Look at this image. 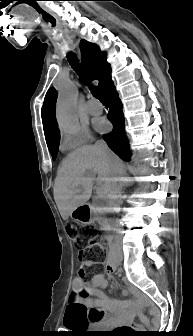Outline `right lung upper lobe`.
<instances>
[{
  "label": "right lung upper lobe",
  "instance_id": "cb5924a9",
  "mask_svg": "<svg viewBox=\"0 0 193 336\" xmlns=\"http://www.w3.org/2000/svg\"><path fill=\"white\" fill-rule=\"evenodd\" d=\"M80 48L83 53L82 64L88 70L92 79H99L98 86L103 91L111 81V69L106 61L105 54L95 44L86 40H81ZM56 98L54 88H50L46 93L41 112L46 142L59 136L55 121Z\"/></svg>",
  "mask_w": 193,
  "mask_h": 336
}]
</instances>
